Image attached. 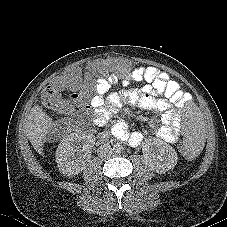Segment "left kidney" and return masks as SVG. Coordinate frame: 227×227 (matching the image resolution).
<instances>
[{"label": "left kidney", "mask_w": 227, "mask_h": 227, "mask_svg": "<svg viewBox=\"0 0 227 227\" xmlns=\"http://www.w3.org/2000/svg\"><path fill=\"white\" fill-rule=\"evenodd\" d=\"M148 165L157 173H165L177 164V153L169 144L160 139H149L143 148Z\"/></svg>", "instance_id": "obj_1"}]
</instances>
